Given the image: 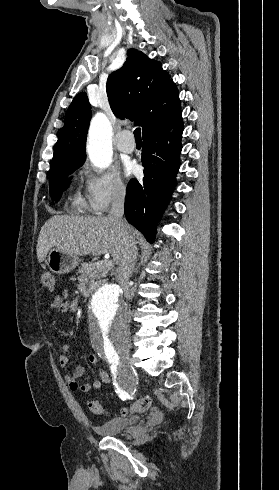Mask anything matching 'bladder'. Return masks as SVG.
<instances>
[{"label": "bladder", "mask_w": 279, "mask_h": 490, "mask_svg": "<svg viewBox=\"0 0 279 490\" xmlns=\"http://www.w3.org/2000/svg\"><path fill=\"white\" fill-rule=\"evenodd\" d=\"M138 423L137 416H119L102 422L95 430L101 437L120 436L125 431L135 430Z\"/></svg>", "instance_id": "1"}]
</instances>
